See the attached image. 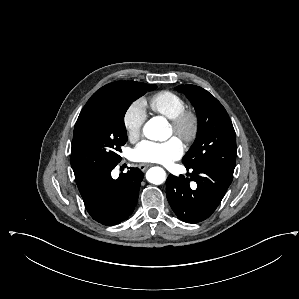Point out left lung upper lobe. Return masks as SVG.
Returning a JSON list of instances; mask_svg holds the SVG:
<instances>
[{
	"mask_svg": "<svg viewBox=\"0 0 299 299\" xmlns=\"http://www.w3.org/2000/svg\"><path fill=\"white\" fill-rule=\"evenodd\" d=\"M196 109L198 131L194 144L183 157L187 168L211 165L234 172L236 137L225 108L205 89L195 85H179Z\"/></svg>",
	"mask_w": 299,
	"mask_h": 299,
	"instance_id": "1",
	"label": "left lung upper lobe"
}]
</instances>
